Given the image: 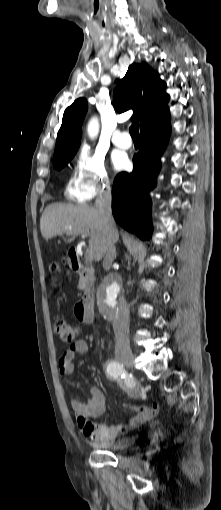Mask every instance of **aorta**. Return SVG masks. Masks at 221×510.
<instances>
[{
    "label": "aorta",
    "instance_id": "obj_1",
    "mask_svg": "<svg viewBox=\"0 0 221 510\" xmlns=\"http://www.w3.org/2000/svg\"><path fill=\"white\" fill-rule=\"evenodd\" d=\"M98 131H99L98 119L96 117H93L88 123L87 127L88 135L91 138H94L97 136ZM120 289L121 282L117 278L109 279L107 282L104 283L100 293V301L103 309H106L108 311L114 310L116 305V296L119 293Z\"/></svg>",
    "mask_w": 221,
    "mask_h": 510
}]
</instances>
